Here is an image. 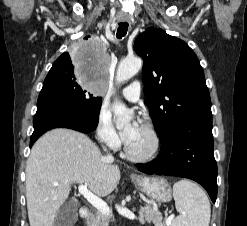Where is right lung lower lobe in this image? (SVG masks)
<instances>
[{"label":"right lung lower lobe","mask_w":247,"mask_h":226,"mask_svg":"<svg viewBox=\"0 0 247 226\" xmlns=\"http://www.w3.org/2000/svg\"><path fill=\"white\" fill-rule=\"evenodd\" d=\"M99 113L92 112L60 90L43 86L33 119L34 132L30 147L46 131L53 128H70L83 133L96 129Z\"/></svg>","instance_id":"98d812e1"}]
</instances>
